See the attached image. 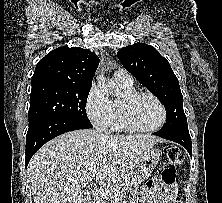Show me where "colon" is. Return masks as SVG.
Wrapping results in <instances>:
<instances>
[{
  "mask_svg": "<svg viewBox=\"0 0 222 203\" xmlns=\"http://www.w3.org/2000/svg\"><path fill=\"white\" fill-rule=\"evenodd\" d=\"M184 155L175 145H168L164 148L162 162L164 165L162 171V181L166 184H174L176 181V170L182 164Z\"/></svg>",
  "mask_w": 222,
  "mask_h": 203,
  "instance_id": "obj_1",
  "label": "colon"
}]
</instances>
